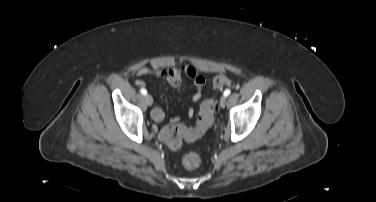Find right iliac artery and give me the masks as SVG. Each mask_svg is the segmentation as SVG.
<instances>
[{
  "label": "right iliac artery",
  "mask_w": 376,
  "mask_h": 202,
  "mask_svg": "<svg viewBox=\"0 0 376 202\" xmlns=\"http://www.w3.org/2000/svg\"><path fill=\"white\" fill-rule=\"evenodd\" d=\"M140 92H141L142 95H146V94H147V91H146V89H144V88H142V89L140 90Z\"/></svg>",
  "instance_id": "1"
}]
</instances>
